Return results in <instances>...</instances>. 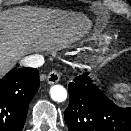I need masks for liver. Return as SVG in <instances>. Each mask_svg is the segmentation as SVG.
Returning a JSON list of instances; mask_svg holds the SVG:
<instances>
[{"label": "liver", "mask_w": 131, "mask_h": 131, "mask_svg": "<svg viewBox=\"0 0 131 131\" xmlns=\"http://www.w3.org/2000/svg\"><path fill=\"white\" fill-rule=\"evenodd\" d=\"M90 22L83 17L41 8L0 12V77L24 55L78 39Z\"/></svg>", "instance_id": "obj_1"}]
</instances>
